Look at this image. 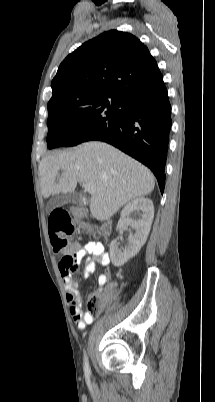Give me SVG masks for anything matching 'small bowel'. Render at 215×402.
Here are the masks:
<instances>
[{
	"label": "small bowel",
	"mask_w": 215,
	"mask_h": 402,
	"mask_svg": "<svg viewBox=\"0 0 215 402\" xmlns=\"http://www.w3.org/2000/svg\"><path fill=\"white\" fill-rule=\"evenodd\" d=\"M73 258L78 264L84 260V267L80 273H77V271L73 273L67 267H62L60 263L59 270L66 289L70 314L76 326L79 329H84L86 325L93 322L94 315L84 313L81 309L79 295L80 282L92 275L96 271L97 265L107 266L110 260L105 253L104 245L95 241H89L84 244L81 250H77V255ZM98 285L100 292L109 293L112 290L113 285L108 284V272L99 274Z\"/></svg>",
	"instance_id": "obj_1"
}]
</instances>
